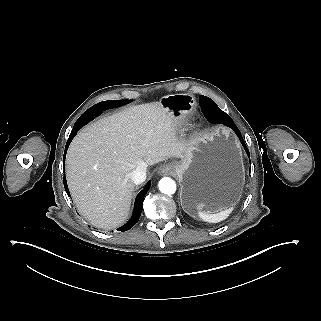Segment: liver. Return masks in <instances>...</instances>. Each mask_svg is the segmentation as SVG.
I'll use <instances>...</instances> for the list:
<instances>
[{"label":"liver","instance_id":"liver-1","mask_svg":"<svg viewBox=\"0 0 321 321\" xmlns=\"http://www.w3.org/2000/svg\"><path fill=\"white\" fill-rule=\"evenodd\" d=\"M171 112L159 102L132 106L81 130L66 158L69 188L79 211L100 228L127 218L134 168L157 164L184 149L174 138Z\"/></svg>","mask_w":321,"mask_h":321}]
</instances>
